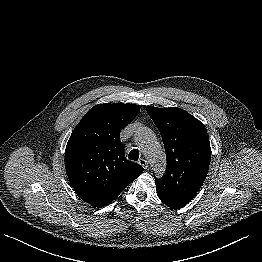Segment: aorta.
I'll return each mask as SVG.
<instances>
[{
	"label": "aorta",
	"instance_id": "1",
	"mask_svg": "<svg viewBox=\"0 0 262 262\" xmlns=\"http://www.w3.org/2000/svg\"><path fill=\"white\" fill-rule=\"evenodd\" d=\"M135 141L158 174L165 171V153L156 139L154 132L147 127H140L135 134Z\"/></svg>",
	"mask_w": 262,
	"mask_h": 262
}]
</instances>
